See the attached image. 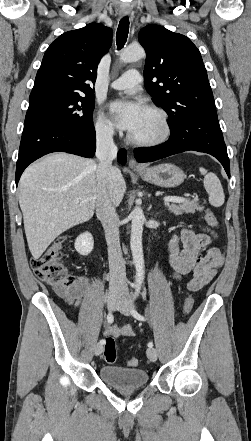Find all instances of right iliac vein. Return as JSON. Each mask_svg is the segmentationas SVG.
Wrapping results in <instances>:
<instances>
[{"label": "right iliac vein", "instance_id": "1", "mask_svg": "<svg viewBox=\"0 0 251 441\" xmlns=\"http://www.w3.org/2000/svg\"><path fill=\"white\" fill-rule=\"evenodd\" d=\"M119 299H120L119 293H110L108 296V309L114 310L118 304ZM102 352H103V345L97 344L94 350L95 355L98 356Z\"/></svg>", "mask_w": 251, "mask_h": 441}]
</instances>
